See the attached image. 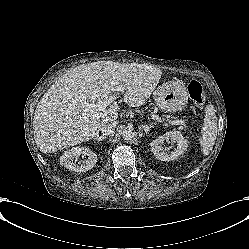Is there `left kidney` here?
<instances>
[{
    "label": "left kidney",
    "mask_w": 249,
    "mask_h": 249,
    "mask_svg": "<svg viewBox=\"0 0 249 249\" xmlns=\"http://www.w3.org/2000/svg\"><path fill=\"white\" fill-rule=\"evenodd\" d=\"M155 157L161 161L175 160L186 150V140L179 131L167 132L151 142Z\"/></svg>",
    "instance_id": "5707ae66"
}]
</instances>
